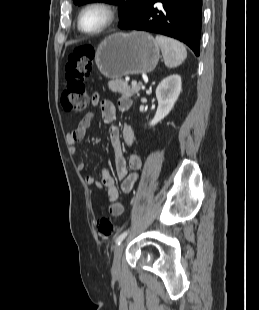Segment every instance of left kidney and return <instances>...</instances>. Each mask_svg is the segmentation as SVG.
I'll list each match as a JSON object with an SVG mask.
<instances>
[{
	"label": "left kidney",
	"mask_w": 259,
	"mask_h": 310,
	"mask_svg": "<svg viewBox=\"0 0 259 310\" xmlns=\"http://www.w3.org/2000/svg\"><path fill=\"white\" fill-rule=\"evenodd\" d=\"M181 87V77L178 74L170 75L159 83L156 89L158 108L154 118L149 123L150 126L156 125L170 113L180 95Z\"/></svg>",
	"instance_id": "1"
}]
</instances>
